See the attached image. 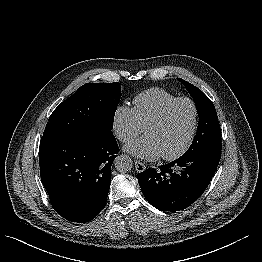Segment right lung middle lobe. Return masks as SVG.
<instances>
[{"mask_svg": "<svg viewBox=\"0 0 262 262\" xmlns=\"http://www.w3.org/2000/svg\"><path fill=\"white\" fill-rule=\"evenodd\" d=\"M120 97L118 82L84 84L53 111L43 137L59 134L114 136L113 119Z\"/></svg>", "mask_w": 262, "mask_h": 262, "instance_id": "right-lung-middle-lobe-1", "label": "right lung middle lobe"}]
</instances>
